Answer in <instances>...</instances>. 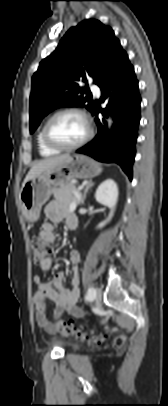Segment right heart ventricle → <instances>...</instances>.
Wrapping results in <instances>:
<instances>
[{
    "label": "right heart ventricle",
    "mask_w": 168,
    "mask_h": 406,
    "mask_svg": "<svg viewBox=\"0 0 168 406\" xmlns=\"http://www.w3.org/2000/svg\"><path fill=\"white\" fill-rule=\"evenodd\" d=\"M42 129H43V127L40 128V130L38 131L37 136H36L37 146H38L40 155L44 156V157L56 155L57 153H59L60 150L52 149L45 144L43 137H42Z\"/></svg>",
    "instance_id": "right-heart-ventricle-1"
}]
</instances>
